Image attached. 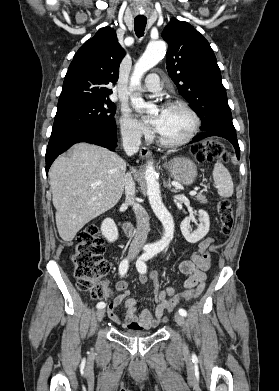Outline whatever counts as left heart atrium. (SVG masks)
Masks as SVG:
<instances>
[{
	"instance_id": "left-heart-atrium-1",
	"label": "left heart atrium",
	"mask_w": 279,
	"mask_h": 391,
	"mask_svg": "<svg viewBox=\"0 0 279 391\" xmlns=\"http://www.w3.org/2000/svg\"><path fill=\"white\" fill-rule=\"evenodd\" d=\"M162 112H163V110H160V111H159V114L161 115V114H162Z\"/></svg>"
}]
</instances>
